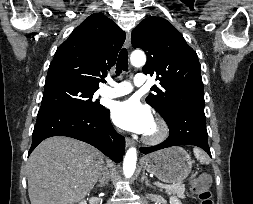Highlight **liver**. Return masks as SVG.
<instances>
[{
  "label": "liver",
  "instance_id": "obj_1",
  "mask_svg": "<svg viewBox=\"0 0 253 204\" xmlns=\"http://www.w3.org/2000/svg\"><path fill=\"white\" fill-rule=\"evenodd\" d=\"M31 204H74L94 187L104 169V155L64 136L42 141L27 163Z\"/></svg>",
  "mask_w": 253,
  "mask_h": 204
}]
</instances>
